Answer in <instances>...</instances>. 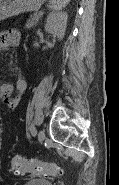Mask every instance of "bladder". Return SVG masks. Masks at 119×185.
<instances>
[{
	"mask_svg": "<svg viewBox=\"0 0 119 185\" xmlns=\"http://www.w3.org/2000/svg\"><path fill=\"white\" fill-rule=\"evenodd\" d=\"M24 185H53L51 181L47 179H31L28 180Z\"/></svg>",
	"mask_w": 119,
	"mask_h": 185,
	"instance_id": "obj_1",
	"label": "bladder"
}]
</instances>
